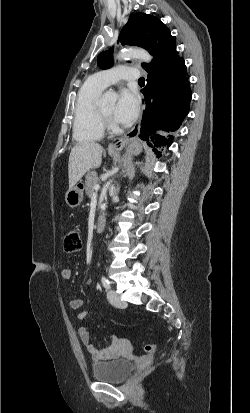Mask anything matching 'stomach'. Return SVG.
<instances>
[{"mask_svg":"<svg viewBox=\"0 0 250 413\" xmlns=\"http://www.w3.org/2000/svg\"><path fill=\"white\" fill-rule=\"evenodd\" d=\"M129 149L135 153H139L141 151V147L136 142H132L129 145ZM109 154L111 156H115L117 153L109 152ZM83 197V184L79 182L66 192L65 201L69 207L76 208L83 201Z\"/></svg>","mask_w":250,"mask_h":413,"instance_id":"1","label":"stomach"}]
</instances>
